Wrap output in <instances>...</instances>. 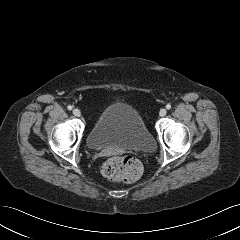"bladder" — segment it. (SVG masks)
Segmentation results:
<instances>
[{
  "label": "bladder",
  "mask_w": 240,
  "mask_h": 240,
  "mask_svg": "<svg viewBox=\"0 0 240 240\" xmlns=\"http://www.w3.org/2000/svg\"><path fill=\"white\" fill-rule=\"evenodd\" d=\"M92 150L104 148L151 152L155 141L140 114L126 103H112L98 116L87 136Z\"/></svg>",
  "instance_id": "1"
}]
</instances>
